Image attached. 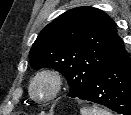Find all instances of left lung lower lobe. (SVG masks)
Returning <instances> with one entry per match:
<instances>
[{
  "mask_svg": "<svg viewBox=\"0 0 131 115\" xmlns=\"http://www.w3.org/2000/svg\"><path fill=\"white\" fill-rule=\"evenodd\" d=\"M106 106L121 114L131 115V62L129 53L101 71L77 96Z\"/></svg>",
  "mask_w": 131,
  "mask_h": 115,
  "instance_id": "obj_1",
  "label": "left lung lower lobe"
}]
</instances>
